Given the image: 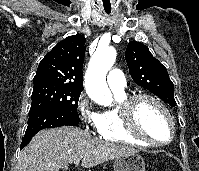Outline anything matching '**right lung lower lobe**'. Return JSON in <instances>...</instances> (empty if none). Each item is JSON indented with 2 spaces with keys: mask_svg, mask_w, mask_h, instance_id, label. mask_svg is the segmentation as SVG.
Segmentation results:
<instances>
[{
  "mask_svg": "<svg viewBox=\"0 0 199 171\" xmlns=\"http://www.w3.org/2000/svg\"><path fill=\"white\" fill-rule=\"evenodd\" d=\"M78 124L79 119L51 106L30 109L28 126L20 149L25 147L31 138L42 129L64 125L76 126Z\"/></svg>",
  "mask_w": 199,
  "mask_h": 171,
  "instance_id": "98d812e1",
  "label": "right lung lower lobe"
}]
</instances>
